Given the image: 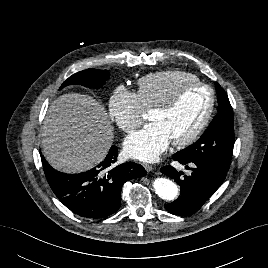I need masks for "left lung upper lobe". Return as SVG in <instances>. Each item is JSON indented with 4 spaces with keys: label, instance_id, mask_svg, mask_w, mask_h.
Here are the masks:
<instances>
[{
    "label": "left lung upper lobe",
    "instance_id": "left-lung-upper-lobe-1",
    "mask_svg": "<svg viewBox=\"0 0 268 268\" xmlns=\"http://www.w3.org/2000/svg\"><path fill=\"white\" fill-rule=\"evenodd\" d=\"M218 99V114L204 134L193 145L183 149L173 156L185 161H204L229 169L234 147L233 110L229 99L216 83Z\"/></svg>",
    "mask_w": 268,
    "mask_h": 268
}]
</instances>
